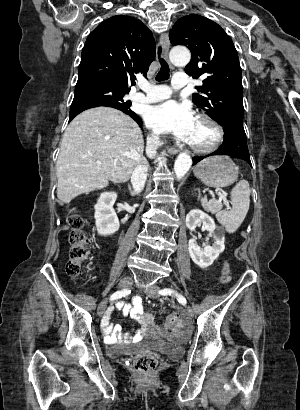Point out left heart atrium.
Returning <instances> with one entry per match:
<instances>
[{
  "label": "left heart atrium",
  "mask_w": 300,
  "mask_h": 410,
  "mask_svg": "<svg viewBox=\"0 0 300 410\" xmlns=\"http://www.w3.org/2000/svg\"><path fill=\"white\" fill-rule=\"evenodd\" d=\"M197 120L188 104L169 100L150 109L147 125L157 133L172 134L190 143Z\"/></svg>",
  "instance_id": "obj_1"
}]
</instances>
